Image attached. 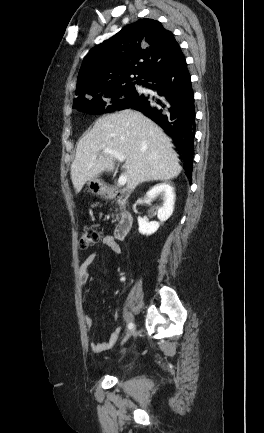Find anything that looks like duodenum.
<instances>
[{"mask_svg": "<svg viewBox=\"0 0 264 433\" xmlns=\"http://www.w3.org/2000/svg\"><path fill=\"white\" fill-rule=\"evenodd\" d=\"M105 195L110 200H118L120 202H126L129 197L128 192L119 189H109L105 192ZM133 222L134 217L132 213L128 211L124 212L115 229V238L119 240L125 238L130 232Z\"/></svg>", "mask_w": 264, "mask_h": 433, "instance_id": "obj_1", "label": "duodenum"}]
</instances>
